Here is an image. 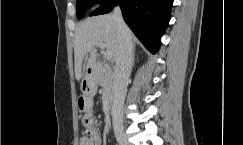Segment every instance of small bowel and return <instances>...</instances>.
<instances>
[{
    "instance_id": "1",
    "label": "small bowel",
    "mask_w": 243,
    "mask_h": 145,
    "mask_svg": "<svg viewBox=\"0 0 243 145\" xmlns=\"http://www.w3.org/2000/svg\"><path fill=\"white\" fill-rule=\"evenodd\" d=\"M88 118L90 119V117ZM79 145H101V136L97 131L91 129L90 134L84 135L79 139Z\"/></svg>"
}]
</instances>
